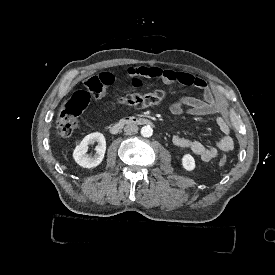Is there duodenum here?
<instances>
[{
  "label": "duodenum",
  "mask_w": 275,
  "mask_h": 275,
  "mask_svg": "<svg viewBox=\"0 0 275 275\" xmlns=\"http://www.w3.org/2000/svg\"><path fill=\"white\" fill-rule=\"evenodd\" d=\"M153 121L148 117L143 116H131L124 119L117 121L116 123L110 126V132L112 134H116L119 132L123 127L135 125V126H149L152 125Z\"/></svg>",
  "instance_id": "obj_1"
}]
</instances>
